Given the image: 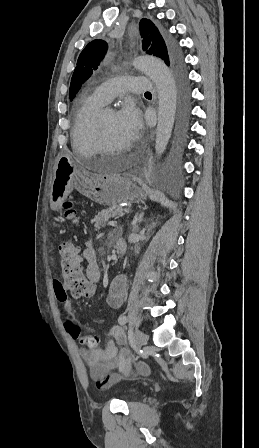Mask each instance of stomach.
Masks as SVG:
<instances>
[{"mask_svg": "<svg viewBox=\"0 0 259 448\" xmlns=\"http://www.w3.org/2000/svg\"><path fill=\"white\" fill-rule=\"evenodd\" d=\"M76 168V162L68 154L58 158L49 196L52 210H60L64 200L72 192L76 182Z\"/></svg>", "mask_w": 259, "mask_h": 448, "instance_id": "obj_1", "label": "stomach"}]
</instances>
